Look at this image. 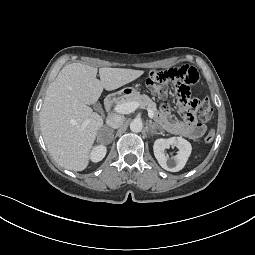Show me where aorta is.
Wrapping results in <instances>:
<instances>
[{
  "mask_svg": "<svg viewBox=\"0 0 255 255\" xmlns=\"http://www.w3.org/2000/svg\"><path fill=\"white\" fill-rule=\"evenodd\" d=\"M143 128V123L141 120L139 119H134L133 121H131L130 123V130L132 132L138 133L142 130Z\"/></svg>",
  "mask_w": 255,
  "mask_h": 255,
  "instance_id": "762f6f07",
  "label": "aorta"
}]
</instances>
